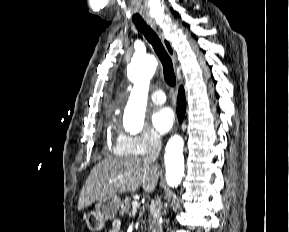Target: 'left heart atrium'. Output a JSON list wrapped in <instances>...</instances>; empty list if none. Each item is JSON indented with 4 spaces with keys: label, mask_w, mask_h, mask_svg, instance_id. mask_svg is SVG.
I'll list each match as a JSON object with an SVG mask.
<instances>
[{
    "label": "left heart atrium",
    "mask_w": 289,
    "mask_h": 232,
    "mask_svg": "<svg viewBox=\"0 0 289 232\" xmlns=\"http://www.w3.org/2000/svg\"><path fill=\"white\" fill-rule=\"evenodd\" d=\"M174 113L169 107L156 108L151 115V124L158 134H166L174 124Z\"/></svg>",
    "instance_id": "left-heart-atrium-1"
}]
</instances>
